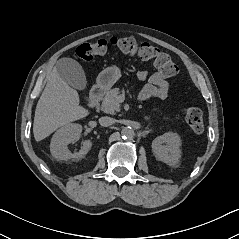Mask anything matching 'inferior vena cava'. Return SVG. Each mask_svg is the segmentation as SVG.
Wrapping results in <instances>:
<instances>
[{
    "label": "inferior vena cava",
    "mask_w": 239,
    "mask_h": 239,
    "mask_svg": "<svg viewBox=\"0 0 239 239\" xmlns=\"http://www.w3.org/2000/svg\"><path fill=\"white\" fill-rule=\"evenodd\" d=\"M99 123L101 126L108 127L115 123V119L112 117L104 116L99 118Z\"/></svg>",
    "instance_id": "602c4592"
}]
</instances>
